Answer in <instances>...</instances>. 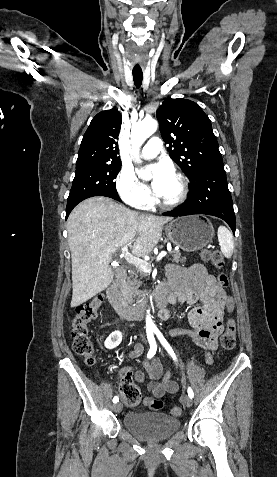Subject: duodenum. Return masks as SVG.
Returning <instances> with one entry per match:
<instances>
[{
	"instance_id": "obj_1",
	"label": "duodenum",
	"mask_w": 277,
	"mask_h": 477,
	"mask_svg": "<svg viewBox=\"0 0 277 477\" xmlns=\"http://www.w3.org/2000/svg\"><path fill=\"white\" fill-rule=\"evenodd\" d=\"M125 280L126 271L123 268L118 269L115 281L107 290V298L121 318L128 321L141 320L145 316V307L130 306L125 302L123 297V287ZM175 302L176 298L170 292L162 291L155 298V305L161 310L162 313L166 311V307L168 305L174 304Z\"/></svg>"
}]
</instances>
